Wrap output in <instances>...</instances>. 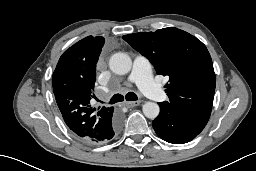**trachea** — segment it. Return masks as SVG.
Returning <instances> with one entry per match:
<instances>
[{"label":"trachea","instance_id":"3493384b","mask_svg":"<svg viewBox=\"0 0 256 171\" xmlns=\"http://www.w3.org/2000/svg\"><path fill=\"white\" fill-rule=\"evenodd\" d=\"M125 98L127 101H135L138 99L137 95L133 92H128L126 95H125ZM124 100V96L121 95V94H115L111 100H110V104H115L117 102H122Z\"/></svg>","mask_w":256,"mask_h":171}]
</instances>
